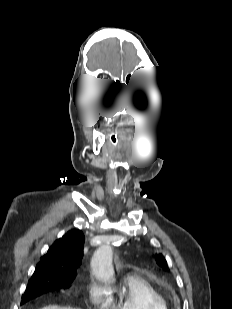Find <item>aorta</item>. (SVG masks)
<instances>
[{
    "label": "aorta",
    "mask_w": 232,
    "mask_h": 309,
    "mask_svg": "<svg viewBox=\"0 0 232 309\" xmlns=\"http://www.w3.org/2000/svg\"><path fill=\"white\" fill-rule=\"evenodd\" d=\"M91 267L97 279L103 282L114 281L112 248L109 245H103L96 250L91 261Z\"/></svg>",
    "instance_id": "aorta-1"
}]
</instances>
